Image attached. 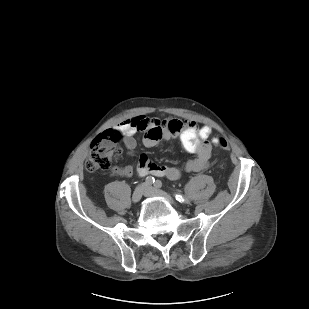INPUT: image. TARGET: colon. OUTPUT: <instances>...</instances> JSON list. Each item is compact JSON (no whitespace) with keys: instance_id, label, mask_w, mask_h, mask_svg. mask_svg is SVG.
I'll use <instances>...</instances> for the list:
<instances>
[{"instance_id":"1","label":"colon","mask_w":309,"mask_h":309,"mask_svg":"<svg viewBox=\"0 0 309 309\" xmlns=\"http://www.w3.org/2000/svg\"><path fill=\"white\" fill-rule=\"evenodd\" d=\"M120 135L105 134L94 139L90 145L89 153L85 162L88 171H98L109 169L113 160L121 154V149L117 145ZM217 145L222 150L229 149V143L224 138L217 140Z\"/></svg>"}]
</instances>
